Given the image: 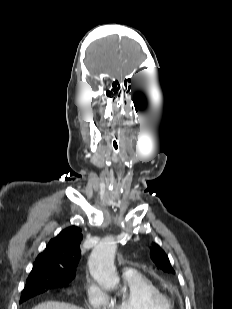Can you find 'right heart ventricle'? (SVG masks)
Instances as JSON below:
<instances>
[{"label": "right heart ventricle", "mask_w": 232, "mask_h": 309, "mask_svg": "<svg viewBox=\"0 0 232 309\" xmlns=\"http://www.w3.org/2000/svg\"><path fill=\"white\" fill-rule=\"evenodd\" d=\"M118 297L109 299L107 309H170L165 294L145 275L135 271L123 275Z\"/></svg>", "instance_id": "right-heart-ventricle-1"}]
</instances>
